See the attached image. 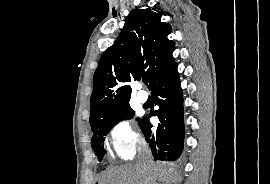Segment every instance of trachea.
Segmentation results:
<instances>
[{"label":"trachea","instance_id":"trachea-1","mask_svg":"<svg viewBox=\"0 0 270 184\" xmlns=\"http://www.w3.org/2000/svg\"><path fill=\"white\" fill-rule=\"evenodd\" d=\"M143 83H144L145 85H147V84H148V79H144V80H143Z\"/></svg>","mask_w":270,"mask_h":184}]
</instances>
